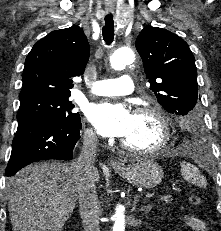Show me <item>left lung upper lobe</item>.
Here are the masks:
<instances>
[{
  "label": "left lung upper lobe",
  "instance_id": "1",
  "mask_svg": "<svg viewBox=\"0 0 221 231\" xmlns=\"http://www.w3.org/2000/svg\"><path fill=\"white\" fill-rule=\"evenodd\" d=\"M150 89L169 113L191 116L197 108L198 84L188 44L162 28L146 26L136 40Z\"/></svg>",
  "mask_w": 221,
  "mask_h": 231
}]
</instances>
